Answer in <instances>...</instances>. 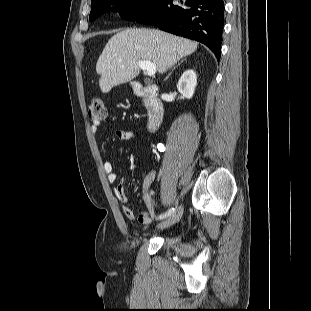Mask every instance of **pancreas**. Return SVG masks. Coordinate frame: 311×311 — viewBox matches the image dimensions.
<instances>
[{
	"label": "pancreas",
	"mask_w": 311,
	"mask_h": 311,
	"mask_svg": "<svg viewBox=\"0 0 311 311\" xmlns=\"http://www.w3.org/2000/svg\"><path fill=\"white\" fill-rule=\"evenodd\" d=\"M143 102H144L145 104H147L148 100H147V99H145Z\"/></svg>",
	"instance_id": "obj_1"
}]
</instances>
